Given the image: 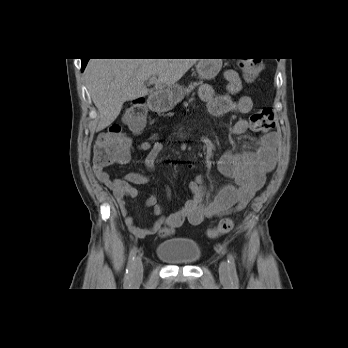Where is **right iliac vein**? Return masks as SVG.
Wrapping results in <instances>:
<instances>
[{"label":"right iliac vein","instance_id":"1","mask_svg":"<svg viewBox=\"0 0 348 348\" xmlns=\"http://www.w3.org/2000/svg\"><path fill=\"white\" fill-rule=\"evenodd\" d=\"M143 276V264L140 257H137L132 272V279L134 282H139Z\"/></svg>","mask_w":348,"mask_h":348}]
</instances>
